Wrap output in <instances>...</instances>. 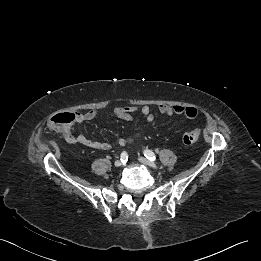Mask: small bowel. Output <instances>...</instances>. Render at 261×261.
I'll return each instance as SVG.
<instances>
[{"mask_svg": "<svg viewBox=\"0 0 261 261\" xmlns=\"http://www.w3.org/2000/svg\"><path fill=\"white\" fill-rule=\"evenodd\" d=\"M139 112L140 115L148 122L153 121L154 116L151 112V109L147 105L143 106H122L113 109L110 112V115L115 118H119L128 122L134 121V113ZM160 114L164 116H172V115H183L188 119H195L198 115V111L195 107L191 106H168L161 105L159 107ZM75 124H82L85 122H89L94 120L97 117L96 111H88L85 113L75 112ZM142 133H138L130 138H118L116 140V144L118 146H126L128 144L133 143L136 139L142 137ZM62 136L66 142L80 144L89 148L97 149V150H108L110 148V144L103 141L92 140L86 137L85 135H74L72 132L71 125L62 129Z\"/></svg>", "mask_w": 261, "mask_h": 261, "instance_id": "obj_1", "label": "small bowel"}]
</instances>
